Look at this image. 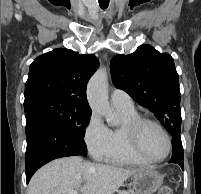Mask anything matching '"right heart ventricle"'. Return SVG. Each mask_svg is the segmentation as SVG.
Masks as SVG:
<instances>
[{"mask_svg": "<svg viewBox=\"0 0 201 194\" xmlns=\"http://www.w3.org/2000/svg\"><path fill=\"white\" fill-rule=\"evenodd\" d=\"M122 123L109 129L110 144L102 157L106 162L116 165H147L149 162L138 156L131 147L127 126L140 117L134 108H117Z\"/></svg>", "mask_w": 201, "mask_h": 194, "instance_id": "obj_1", "label": "right heart ventricle"}]
</instances>
